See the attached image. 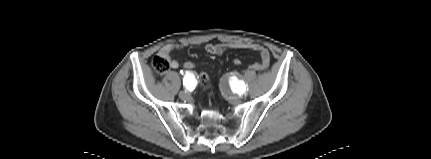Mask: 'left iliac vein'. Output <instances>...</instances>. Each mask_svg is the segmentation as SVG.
Here are the masks:
<instances>
[{"instance_id":"4c4485c4","label":"left iliac vein","mask_w":431,"mask_h":159,"mask_svg":"<svg viewBox=\"0 0 431 159\" xmlns=\"http://www.w3.org/2000/svg\"><path fill=\"white\" fill-rule=\"evenodd\" d=\"M230 99L233 101H238V97H230Z\"/></svg>"}]
</instances>
